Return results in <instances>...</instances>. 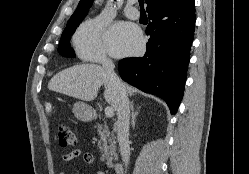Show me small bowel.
<instances>
[{
  "mask_svg": "<svg viewBox=\"0 0 249 174\" xmlns=\"http://www.w3.org/2000/svg\"><path fill=\"white\" fill-rule=\"evenodd\" d=\"M80 156H82L84 162L89 164V165H92L95 161L92 154L82 153L81 150L78 148H75V149L71 150L69 153L65 154L63 156V161L65 163H69V162L73 161L74 159H77ZM60 174H64V173L61 172ZM96 174H105V172L99 171Z\"/></svg>",
  "mask_w": 249,
  "mask_h": 174,
  "instance_id": "obj_1",
  "label": "small bowel"
}]
</instances>
